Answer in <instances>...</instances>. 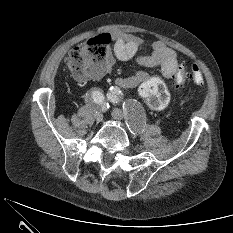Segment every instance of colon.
I'll use <instances>...</instances> for the list:
<instances>
[{
  "label": "colon",
  "instance_id": "1",
  "mask_svg": "<svg viewBox=\"0 0 233 233\" xmlns=\"http://www.w3.org/2000/svg\"><path fill=\"white\" fill-rule=\"evenodd\" d=\"M109 43L110 37L102 34L75 46L67 58L72 74L79 79L100 75L104 68ZM172 79L176 85H182L186 80H192L200 85L203 83V73L200 66L194 63L189 71L184 66H180ZM139 92L152 110L161 111L169 103V93L159 78L153 77L144 81Z\"/></svg>",
  "mask_w": 233,
  "mask_h": 233
}]
</instances>
